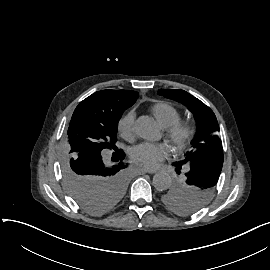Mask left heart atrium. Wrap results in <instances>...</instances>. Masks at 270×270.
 <instances>
[{"instance_id": "1", "label": "left heart atrium", "mask_w": 270, "mask_h": 270, "mask_svg": "<svg viewBox=\"0 0 270 270\" xmlns=\"http://www.w3.org/2000/svg\"><path fill=\"white\" fill-rule=\"evenodd\" d=\"M168 148L162 145L142 144L132 154L133 160L146 169L157 168L166 157Z\"/></svg>"}]
</instances>
